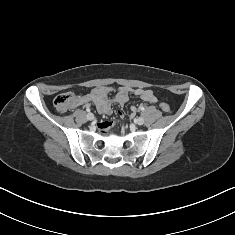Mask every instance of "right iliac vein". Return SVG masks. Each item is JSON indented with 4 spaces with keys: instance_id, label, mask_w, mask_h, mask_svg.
<instances>
[{
    "instance_id": "1",
    "label": "right iliac vein",
    "mask_w": 235,
    "mask_h": 235,
    "mask_svg": "<svg viewBox=\"0 0 235 235\" xmlns=\"http://www.w3.org/2000/svg\"><path fill=\"white\" fill-rule=\"evenodd\" d=\"M87 119L92 121L94 119V115L92 113L87 114Z\"/></svg>"
}]
</instances>
